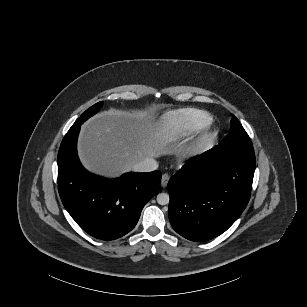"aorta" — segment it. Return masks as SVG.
Returning a JSON list of instances; mask_svg holds the SVG:
<instances>
[{
	"label": "aorta",
	"mask_w": 307,
	"mask_h": 307,
	"mask_svg": "<svg viewBox=\"0 0 307 307\" xmlns=\"http://www.w3.org/2000/svg\"><path fill=\"white\" fill-rule=\"evenodd\" d=\"M157 203L160 205H166L169 203V195L167 193H159L156 197Z\"/></svg>",
	"instance_id": "762f6f07"
}]
</instances>
